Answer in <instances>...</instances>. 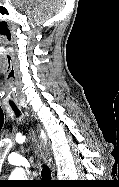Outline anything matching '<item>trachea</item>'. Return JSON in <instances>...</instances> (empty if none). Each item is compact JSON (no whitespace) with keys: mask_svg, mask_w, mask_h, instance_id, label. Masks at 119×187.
<instances>
[{"mask_svg":"<svg viewBox=\"0 0 119 187\" xmlns=\"http://www.w3.org/2000/svg\"><path fill=\"white\" fill-rule=\"evenodd\" d=\"M11 107L14 109L16 115L18 116L19 115V111L17 110V107L15 105H11ZM42 177L45 179V178H50V170L47 166H43V169H42Z\"/></svg>","mask_w":119,"mask_h":187,"instance_id":"obj_1","label":"trachea"}]
</instances>
